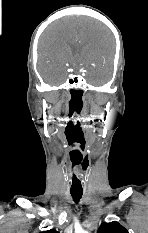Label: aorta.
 Returning a JSON list of instances; mask_svg holds the SVG:
<instances>
[{
	"instance_id": "obj_1",
	"label": "aorta",
	"mask_w": 148,
	"mask_h": 233,
	"mask_svg": "<svg viewBox=\"0 0 148 233\" xmlns=\"http://www.w3.org/2000/svg\"><path fill=\"white\" fill-rule=\"evenodd\" d=\"M81 233H88V232H84V231H82Z\"/></svg>"
}]
</instances>
